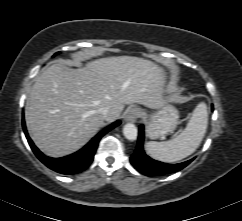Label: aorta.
Listing matches in <instances>:
<instances>
[{
	"mask_svg": "<svg viewBox=\"0 0 242 221\" xmlns=\"http://www.w3.org/2000/svg\"><path fill=\"white\" fill-rule=\"evenodd\" d=\"M123 134L126 139L134 141L137 139L138 136L137 127L132 123H127L123 127Z\"/></svg>",
	"mask_w": 242,
	"mask_h": 221,
	"instance_id": "aorta-1",
	"label": "aorta"
}]
</instances>
